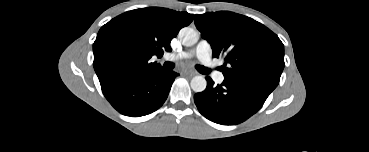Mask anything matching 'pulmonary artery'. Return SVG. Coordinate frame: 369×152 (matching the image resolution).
Masks as SVG:
<instances>
[{
	"mask_svg": "<svg viewBox=\"0 0 369 152\" xmlns=\"http://www.w3.org/2000/svg\"><path fill=\"white\" fill-rule=\"evenodd\" d=\"M193 56L197 57L200 62L207 68L214 67V64L212 62V49L210 44L206 40H201L191 51L169 55L167 58L170 60H181L190 59ZM213 78L217 83H221L224 80L223 74L219 71H213Z\"/></svg>",
	"mask_w": 369,
	"mask_h": 152,
	"instance_id": "1",
	"label": "pulmonary artery"
}]
</instances>
